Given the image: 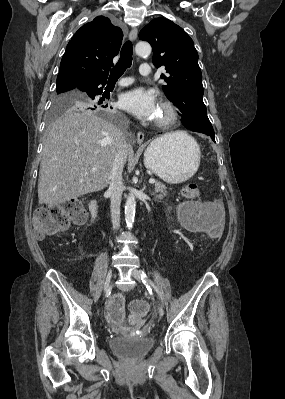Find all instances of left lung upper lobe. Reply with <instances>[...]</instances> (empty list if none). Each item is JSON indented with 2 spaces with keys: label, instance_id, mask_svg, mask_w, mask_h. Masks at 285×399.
I'll return each mask as SVG.
<instances>
[{
  "label": "left lung upper lobe",
  "instance_id": "left-lung-upper-lobe-1",
  "mask_svg": "<svg viewBox=\"0 0 285 399\" xmlns=\"http://www.w3.org/2000/svg\"><path fill=\"white\" fill-rule=\"evenodd\" d=\"M153 49V64L165 67L161 75L166 97L177 107L184 126L191 131L214 135L203 103L202 73L193 40L178 25L166 18H156L139 33Z\"/></svg>",
  "mask_w": 285,
  "mask_h": 399
}]
</instances>
